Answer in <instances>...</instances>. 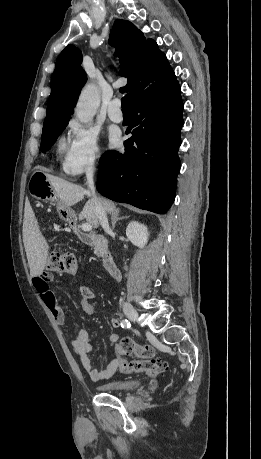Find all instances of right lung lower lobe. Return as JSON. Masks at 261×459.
Instances as JSON below:
<instances>
[{
    "mask_svg": "<svg viewBox=\"0 0 261 459\" xmlns=\"http://www.w3.org/2000/svg\"><path fill=\"white\" fill-rule=\"evenodd\" d=\"M132 124L125 152H107L100 160L97 190L117 202L158 214L171 207L180 169L178 149L183 126L178 81L131 106ZM132 129V130H131Z\"/></svg>",
    "mask_w": 261,
    "mask_h": 459,
    "instance_id": "1",
    "label": "right lung lower lobe"
}]
</instances>
